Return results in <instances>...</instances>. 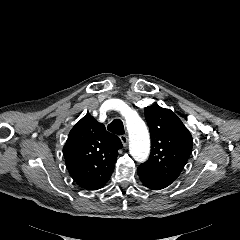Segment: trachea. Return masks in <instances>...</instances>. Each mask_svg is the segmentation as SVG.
Segmentation results:
<instances>
[{"label":"trachea","instance_id":"3493384b","mask_svg":"<svg viewBox=\"0 0 240 240\" xmlns=\"http://www.w3.org/2000/svg\"><path fill=\"white\" fill-rule=\"evenodd\" d=\"M108 130L114 134L123 135L124 134L123 122L120 119L113 120L108 125Z\"/></svg>","mask_w":240,"mask_h":240}]
</instances>
